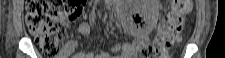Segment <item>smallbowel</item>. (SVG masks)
<instances>
[{
    "instance_id": "obj_1",
    "label": "small bowel",
    "mask_w": 225,
    "mask_h": 58,
    "mask_svg": "<svg viewBox=\"0 0 225 58\" xmlns=\"http://www.w3.org/2000/svg\"><path fill=\"white\" fill-rule=\"evenodd\" d=\"M155 4H158L156 1ZM63 23L64 24H69V21L66 18H63ZM77 31L80 35L86 36L90 32V27L86 22H81L77 26ZM130 32L132 34L136 35V39L134 40L133 43H115L111 47V52L112 54H118L120 53V56L117 58H135L136 57V49L142 45L145 44L147 41V32L146 31H140L135 28H130ZM77 46V42L72 40L68 42L64 48L63 51L60 55L59 58H68L73 54ZM74 58H114L111 55L107 53H99V54H94L92 52H87V53H77L74 55Z\"/></svg>"
}]
</instances>
